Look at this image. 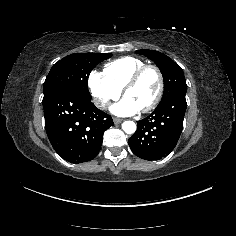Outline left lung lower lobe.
I'll list each match as a JSON object with an SVG mask.
<instances>
[{
  "mask_svg": "<svg viewBox=\"0 0 236 236\" xmlns=\"http://www.w3.org/2000/svg\"><path fill=\"white\" fill-rule=\"evenodd\" d=\"M185 95L186 92H177L161 100L148 117L137 122V131L128 139L136 156L159 160L175 148L183 129Z\"/></svg>",
  "mask_w": 236,
  "mask_h": 236,
  "instance_id": "obj_1",
  "label": "left lung lower lobe"
}]
</instances>
